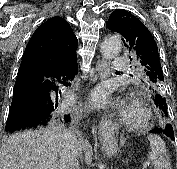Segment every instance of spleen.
<instances>
[{
  "label": "spleen",
  "mask_w": 177,
  "mask_h": 169,
  "mask_svg": "<svg viewBox=\"0 0 177 169\" xmlns=\"http://www.w3.org/2000/svg\"><path fill=\"white\" fill-rule=\"evenodd\" d=\"M150 152L148 162L154 169H172L169 161L165 142L157 135H148Z\"/></svg>",
  "instance_id": "obj_1"
}]
</instances>
